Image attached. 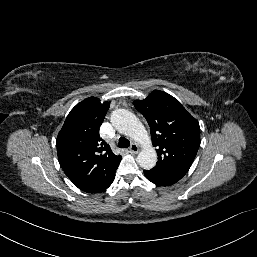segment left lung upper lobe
<instances>
[{
    "label": "left lung upper lobe",
    "mask_w": 257,
    "mask_h": 257,
    "mask_svg": "<svg viewBox=\"0 0 257 257\" xmlns=\"http://www.w3.org/2000/svg\"><path fill=\"white\" fill-rule=\"evenodd\" d=\"M135 108L146 118L158 161L151 170L180 180L191 167L200 146V127L181 103L166 92L154 90Z\"/></svg>",
    "instance_id": "left-lung-upper-lobe-1"
}]
</instances>
